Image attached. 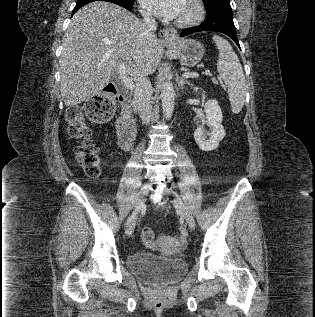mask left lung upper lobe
Returning a JSON list of instances; mask_svg holds the SVG:
<instances>
[{
  "label": "left lung upper lobe",
  "mask_w": 315,
  "mask_h": 317,
  "mask_svg": "<svg viewBox=\"0 0 315 317\" xmlns=\"http://www.w3.org/2000/svg\"><path fill=\"white\" fill-rule=\"evenodd\" d=\"M207 10L206 20L217 22L223 19H233L230 0H203Z\"/></svg>",
  "instance_id": "obj_1"
}]
</instances>
